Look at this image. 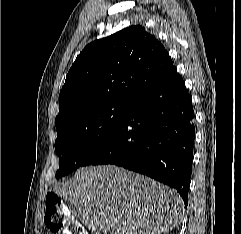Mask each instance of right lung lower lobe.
I'll return each mask as SVG.
<instances>
[{
  "label": "right lung lower lobe",
  "instance_id": "obj_1",
  "mask_svg": "<svg viewBox=\"0 0 241 234\" xmlns=\"http://www.w3.org/2000/svg\"><path fill=\"white\" fill-rule=\"evenodd\" d=\"M191 97L176 68L130 103L106 141L82 164H115L175 188L185 206L195 138Z\"/></svg>",
  "mask_w": 241,
  "mask_h": 234
}]
</instances>
